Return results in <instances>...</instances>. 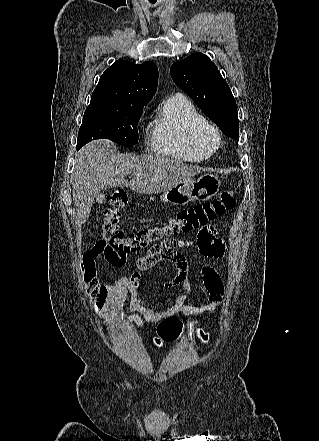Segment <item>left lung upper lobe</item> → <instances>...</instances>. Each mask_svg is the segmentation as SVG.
Returning a JSON list of instances; mask_svg holds the SVG:
<instances>
[{"mask_svg":"<svg viewBox=\"0 0 319 441\" xmlns=\"http://www.w3.org/2000/svg\"><path fill=\"white\" fill-rule=\"evenodd\" d=\"M175 84L232 138H239L238 111L231 90L216 65L202 53H195L171 66Z\"/></svg>","mask_w":319,"mask_h":441,"instance_id":"1","label":"left lung upper lobe"}]
</instances>
